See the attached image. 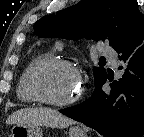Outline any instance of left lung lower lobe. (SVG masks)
Wrapping results in <instances>:
<instances>
[{"label": "left lung lower lobe", "instance_id": "1", "mask_svg": "<svg viewBox=\"0 0 144 137\" xmlns=\"http://www.w3.org/2000/svg\"><path fill=\"white\" fill-rule=\"evenodd\" d=\"M123 75L103 91L106 76L95 85L83 103L60 110L105 137H141L144 134V21L139 29L116 50Z\"/></svg>", "mask_w": 144, "mask_h": 137}]
</instances>
